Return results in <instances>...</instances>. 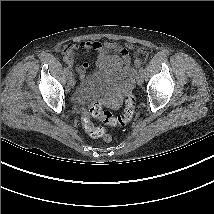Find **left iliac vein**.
<instances>
[{"mask_svg": "<svg viewBox=\"0 0 214 214\" xmlns=\"http://www.w3.org/2000/svg\"><path fill=\"white\" fill-rule=\"evenodd\" d=\"M135 79L137 81L138 84H141L142 83V76L140 73H138L136 76H135Z\"/></svg>", "mask_w": 214, "mask_h": 214, "instance_id": "left-iliac-vein-1", "label": "left iliac vein"}]
</instances>
